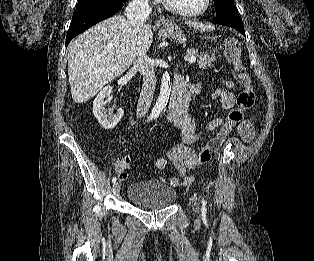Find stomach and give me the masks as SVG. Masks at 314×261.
<instances>
[{
    "label": "stomach",
    "mask_w": 314,
    "mask_h": 261,
    "mask_svg": "<svg viewBox=\"0 0 314 261\" xmlns=\"http://www.w3.org/2000/svg\"><path fill=\"white\" fill-rule=\"evenodd\" d=\"M165 36L173 37L180 43L185 44L187 42V39L183 32L180 30V28L175 25L174 23L168 22L166 24V28L164 30Z\"/></svg>",
    "instance_id": "0dacf381"
}]
</instances>
